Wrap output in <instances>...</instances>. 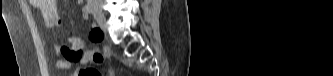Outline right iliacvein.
Listing matches in <instances>:
<instances>
[{
    "label": "right iliac vein",
    "mask_w": 333,
    "mask_h": 76,
    "mask_svg": "<svg viewBox=\"0 0 333 76\" xmlns=\"http://www.w3.org/2000/svg\"><path fill=\"white\" fill-rule=\"evenodd\" d=\"M91 11L94 15V18L96 19V21L101 25L104 26L106 23V18L105 15L102 11V8L100 5L98 4H89Z\"/></svg>",
    "instance_id": "63e3f726"
}]
</instances>
